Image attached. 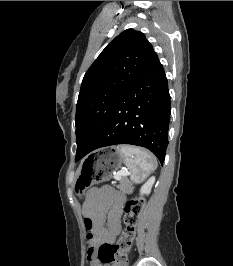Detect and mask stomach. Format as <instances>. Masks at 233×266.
<instances>
[{
	"label": "stomach",
	"instance_id": "0dacf381",
	"mask_svg": "<svg viewBox=\"0 0 233 266\" xmlns=\"http://www.w3.org/2000/svg\"><path fill=\"white\" fill-rule=\"evenodd\" d=\"M95 151L88 152L87 161H82V166L102 167H77L74 189L79 195L89 185H101V180H112L124 161L119 147H96Z\"/></svg>",
	"mask_w": 233,
	"mask_h": 266
}]
</instances>
